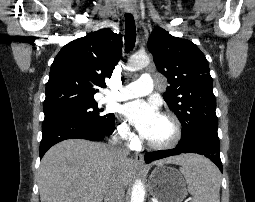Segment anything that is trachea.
I'll return each mask as SVG.
<instances>
[{"mask_svg": "<svg viewBox=\"0 0 255 202\" xmlns=\"http://www.w3.org/2000/svg\"><path fill=\"white\" fill-rule=\"evenodd\" d=\"M125 52L133 49L136 41V27L132 14H125Z\"/></svg>", "mask_w": 255, "mask_h": 202, "instance_id": "1", "label": "trachea"}]
</instances>
